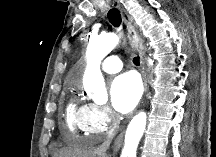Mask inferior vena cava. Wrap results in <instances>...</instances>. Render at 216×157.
I'll list each match as a JSON object with an SVG mask.
<instances>
[{"label": "inferior vena cava", "instance_id": "obj_1", "mask_svg": "<svg viewBox=\"0 0 216 157\" xmlns=\"http://www.w3.org/2000/svg\"><path fill=\"white\" fill-rule=\"evenodd\" d=\"M112 135H109L107 139L101 144L98 148V151L103 154V157H106V151L108 150L111 143Z\"/></svg>", "mask_w": 216, "mask_h": 157}]
</instances>
